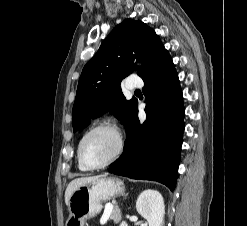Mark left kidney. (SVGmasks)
Returning a JSON list of instances; mask_svg holds the SVG:
<instances>
[{
    "instance_id": "1",
    "label": "left kidney",
    "mask_w": 247,
    "mask_h": 226,
    "mask_svg": "<svg viewBox=\"0 0 247 226\" xmlns=\"http://www.w3.org/2000/svg\"><path fill=\"white\" fill-rule=\"evenodd\" d=\"M137 212L147 220L149 226H161L165 214L162 195L156 190L143 191L136 201Z\"/></svg>"
}]
</instances>
